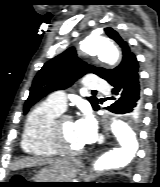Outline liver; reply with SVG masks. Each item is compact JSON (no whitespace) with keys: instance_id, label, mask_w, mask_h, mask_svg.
Masks as SVG:
<instances>
[{"instance_id":"6515ba94","label":"liver","mask_w":160,"mask_h":187,"mask_svg":"<svg viewBox=\"0 0 160 187\" xmlns=\"http://www.w3.org/2000/svg\"><path fill=\"white\" fill-rule=\"evenodd\" d=\"M56 160H58V159H43V158H36V157H27V158H23L21 160L16 161L13 164L12 169L18 170V169L27 168V167L52 164Z\"/></svg>"}]
</instances>
